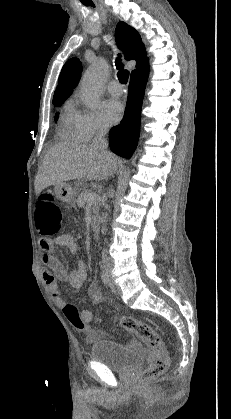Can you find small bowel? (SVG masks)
Instances as JSON below:
<instances>
[{
    "label": "small bowel",
    "instance_id": "1",
    "mask_svg": "<svg viewBox=\"0 0 231 419\" xmlns=\"http://www.w3.org/2000/svg\"><path fill=\"white\" fill-rule=\"evenodd\" d=\"M39 246L42 250V274L44 280L51 293L55 304L64 308L66 301L61 295L59 283L65 282L73 289H80L85 282L88 274V269L83 261H79L77 265L67 271L60 260L53 254L56 249L60 247L67 248L72 254L78 251V245L74 238L69 234H61L53 239L41 238ZM88 296L94 304H100L104 301V295L96 282H93L88 290ZM86 323L93 321V313L89 310H81Z\"/></svg>",
    "mask_w": 231,
    "mask_h": 419
}]
</instances>
